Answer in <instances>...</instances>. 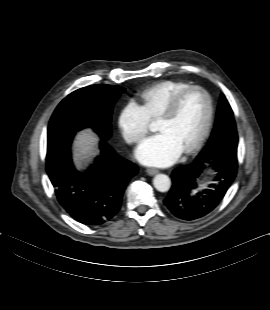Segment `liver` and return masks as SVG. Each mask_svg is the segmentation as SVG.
Wrapping results in <instances>:
<instances>
[{
    "instance_id": "liver-1",
    "label": "liver",
    "mask_w": 270,
    "mask_h": 310,
    "mask_svg": "<svg viewBox=\"0 0 270 310\" xmlns=\"http://www.w3.org/2000/svg\"><path fill=\"white\" fill-rule=\"evenodd\" d=\"M97 142L98 137L90 129L79 132L74 142V162L81 164L95 155Z\"/></svg>"
}]
</instances>
